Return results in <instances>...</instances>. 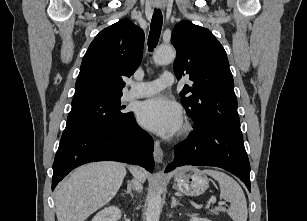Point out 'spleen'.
<instances>
[{
	"mask_svg": "<svg viewBox=\"0 0 307 221\" xmlns=\"http://www.w3.org/2000/svg\"><path fill=\"white\" fill-rule=\"evenodd\" d=\"M203 172L218 181L220 197L230 202V207L227 209L230 218L233 221H247V202L240 185L224 172L213 169H206Z\"/></svg>",
	"mask_w": 307,
	"mask_h": 221,
	"instance_id": "1",
	"label": "spleen"
}]
</instances>
